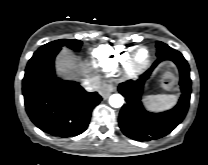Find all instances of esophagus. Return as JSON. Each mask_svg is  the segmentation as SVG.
Returning <instances> with one entry per match:
<instances>
[{
	"label": "esophagus",
	"mask_w": 208,
	"mask_h": 165,
	"mask_svg": "<svg viewBox=\"0 0 208 165\" xmlns=\"http://www.w3.org/2000/svg\"><path fill=\"white\" fill-rule=\"evenodd\" d=\"M116 88L113 84L111 83H104L101 87H100V94L104 97L107 98L110 96V94L112 92H115Z\"/></svg>",
	"instance_id": "34e87169"
}]
</instances>
